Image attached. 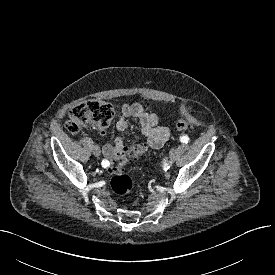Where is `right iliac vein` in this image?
<instances>
[{
  "instance_id": "right-iliac-vein-1",
  "label": "right iliac vein",
  "mask_w": 275,
  "mask_h": 275,
  "mask_svg": "<svg viewBox=\"0 0 275 275\" xmlns=\"http://www.w3.org/2000/svg\"><path fill=\"white\" fill-rule=\"evenodd\" d=\"M93 154H94L96 157L100 155V148H99L97 145H95V146L93 147Z\"/></svg>"
}]
</instances>
